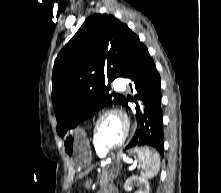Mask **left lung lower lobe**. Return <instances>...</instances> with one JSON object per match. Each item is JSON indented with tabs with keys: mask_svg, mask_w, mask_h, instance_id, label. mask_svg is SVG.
Wrapping results in <instances>:
<instances>
[{
	"mask_svg": "<svg viewBox=\"0 0 221 193\" xmlns=\"http://www.w3.org/2000/svg\"><path fill=\"white\" fill-rule=\"evenodd\" d=\"M122 77L132 81L130 84L131 90L138 92L135 98L142 100L145 105L144 114H141L139 108H137L138 127L126 149L146 145L154 147L163 155V113L161 109L160 75L146 46L141 42L132 54ZM128 101L131 100L127 98L125 106H127Z\"/></svg>",
	"mask_w": 221,
	"mask_h": 193,
	"instance_id": "1",
	"label": "left lung lower lobe"
}]
</instances>
